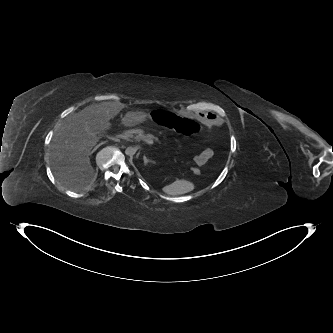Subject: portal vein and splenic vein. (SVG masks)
I'll return each mask as SVG.
<instances>
[{
  "label": "portal vein and splenic vein",
  "mask_w": 333,
  "mask_h": 333,
  "mask_svg": "<svg viewBox=\"0 0 333 333\" xmlns=\"http://www.w3.org/2000/svg\"><path fill=\"white\" fill-rule=\"evenodd\" d=\"M129 135L128 133H124V134H121V135H118L117 137H120V138H127ZM148 144H152V141L150 140H147L146 141Z\"/></svg>",
  "instance_id": "obj_1"
}]
</instances>
